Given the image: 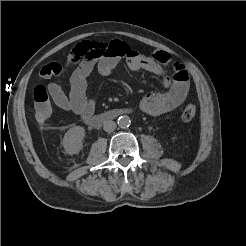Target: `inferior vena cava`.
Masks as SVG:
<instances>
[{
	"label": "inferior vena cava",
	"mask_w": 246,
	"mask_h": 246,
	"mask_svg": "<svg viewBox=\"0 0 246 246\" xmlns=\"http://www.w3.org/2000/svg\"><path fill=\"white\" fill-rule=\"evenodd\" d=\"M116 128V123L114 121H105L103 125V129L105 132H112Z\"/></svg>",
	"instance_id": "inferior-vena-cava-1"
}]
</instances>
